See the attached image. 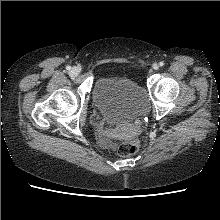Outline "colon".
Here are the masks:
<instances>
[{
  "label": "colon",
  "instance_id": "colon-1",
  "mask_svg": "<svg viewBox=\"0 0 220 220\" xmlns=\"http://www.w3.org/2000/svg\"><path fill=\"white\" fill-rule=\"evenodd\" d=\"M138 149L137 142L134 140L131 141H125L122 142L118 147H117V153L118 155L122 157H129L133 154L136 153Z\"/></svg>",
  "mask_w": 220,
  "mask_h": 220
}]
</instances>
